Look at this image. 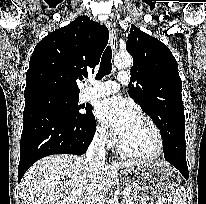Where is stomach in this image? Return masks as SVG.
<instances>
[{
    "label": "stomach",
    "instance_id": "stomach-1",
    "mask_svg": "<svg viewBox=\"0 0 206 204\" xmlns=\"http://www.w3.org/2000/svg\"><path fill=\"white\" fill-rule=\"evenodd\" d=\"M123 174L133 192L148 204L165 201L180 184L178 172L165 162L136 163Z\"/></svg>",
    "mask_w": 206,
    "mask_h": 204
}]
</instances>
